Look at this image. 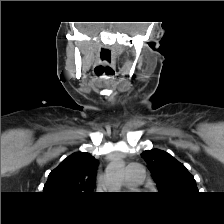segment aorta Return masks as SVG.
I'll return each mask as SVG.
<instances>
[{
    "instance_id": "aorta-1",
    "label": "aorta",
    "mask_w": 224,
    "mask_h": 224,
    "mask_svg": "<svg viewBox=\"0 0 224 224\" xmlns=\"http://www.w3.org/2000/svg\"><path fill=\"white\" fill-rule=\"evenodd\" d=\"M124 178V162L121 158H114L106 169V179L108 189L117 191L121 188L122 180Z\"/></svg>"
}]
</instances>
